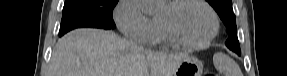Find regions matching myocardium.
<instances>
[{
  "instance_id": "f54148a6",
  "label": "myocardium",
  "mask_w": 287,
  "mask_h": 76,
  "mask_svg": "<svg viewBox=\"0 0 287 76\" xmlns=\"http://www.w3.org/2000/svg\"><path fill=\"white\" fill-rule=\"evenodd\" d=\"M188 3H196L203 6L210 13L212 18V30L210 34L204 40L199 42H190L185 40L183 37H181L173 24L172 13L181 6ZM169 8L170 12L166 15H162V21L165 31L173 44L190 49H199L208 46L218 35L220 29V20L218 14L208 2L204 0H175L169 4Z\"/></svg>"
}]
</instances>
